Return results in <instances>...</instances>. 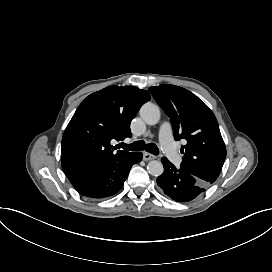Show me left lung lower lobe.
<instances>
[{
	"label": "left lung lower lobe",
	"mask_w": 272,
	"mask_h": 272,
	"mask_svg": "<svg viewBox=\"0 0 272 272\" xmlns=\"http://www.w3.org/2000/svg\"><path fill=\"white\" fill-rule=\"evenodd\" d=\"M161 161L164 173L157 178V184L174 201L189 202L210 186L181 168L177 169L166 157Z\"/></svg>",
	"instance_id": "obj_1"
}]
</instances>
